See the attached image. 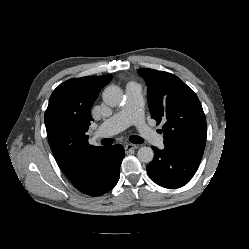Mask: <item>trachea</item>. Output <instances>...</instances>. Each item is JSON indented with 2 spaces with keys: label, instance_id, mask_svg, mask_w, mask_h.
<instances>
[{
  "label": "trachea",
  "instance_id": "1",
  "mask_svg": "<svg viewBox=\"0 0 249 249\" xmlns=\"http://www.w3.org/2000/svg\"><path fill=\"white\" fill-rule=\"evenodd\" d=\"M129 140H130L132 143H134V144H142V143L144 142V140H143L141 137L137 136V135H132V136H130V137H129ZM101 143H102L103 145H110V144H112V140H111V139H103V140L101 141Z\"/></svg>",
  "mask_w": 249,
  "mask_h": 249
}]
</instances>
